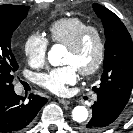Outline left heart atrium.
I'll use <instances>...</instances> for the list:
<instances>
[{
	"instance_id": "39dd6f15",
	"label": "left heart atrium",
	"mask_w": 133,
	"mask_h": 133,
	"mask_svg": "<svg viewBox=\"0 0 133 133\" xmlns=\"http://www.w3.org/2000/svg\"><path fill=\"white\" fill-rule=\"evenodd\" d=\"M77 77V69L68 64L40 74L37 81L43 88L60 95L67 91V86L76 83Z\"/></svg>"
}]
</instances>
